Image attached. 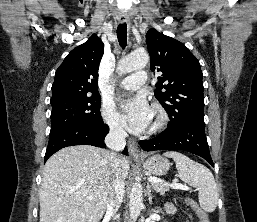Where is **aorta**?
I'll list each match as a JSON object with an SVG mask.
<instances>
[{
	"mask_svg": "<svg viewBox=\"0 0 257 222\" xmlns=\"http://www.w3.org/2000/svg\"><path fill=\"white\" fill-rule=\"evenodd\" d=\"M149 55L145 51H134L122 58L117 65L118 74H125L131 71L142 69L147 66ZM129 211L131 219H136L143 208V194L140 183H133L130 190Z\"/></svg>",
	"mask_w": 257,
	"mask_h": 222,
	"instance_id": "1",
	"label": "aorta"
}]
</instances>
